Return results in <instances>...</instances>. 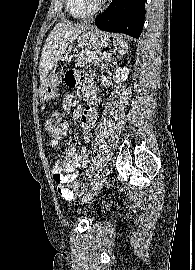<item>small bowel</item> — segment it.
Returning a JSON list of instances; mask_svg holds the SVG:
<instances>
[{"label": "small bowel", "mask_w": 195, "mask_h": 270, "mask_svg": "<svg viewBox=\"0 0 195 270\" xmlns=\"http://www.w3.org/2000/svg\"><path fill=\"white\" fill-rule=\"evenodd\" d=\"M66 84L74 87L78 84L83 86V94L87 101L85 105L75 108L74 116L82 131V139L84 143H89L93 139V124L96 119L94 103L97 95L92 89V79L90 75L79 71H69L65 77ZM74 104V96L66 95L63 98L62 106L65 112H70ZM69 132V123L62 122L49 131L51 136L50 146L56 148L61 140L67 136ZM74 145H71L64 156L63 160H57L52 167V176L57 183L58 193L65 200H73L75 198L73 191L66 186L67 183L73 182L78 176L80 168L87 167L90 164L88 151L85 145H82L78 151Z\"/></svg>", "instance_id": "1"}]
</instances>
